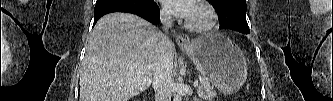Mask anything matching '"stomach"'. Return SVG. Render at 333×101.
Returning <instances> with one entry per match:
<instances>
[{"instance_id":"stomach-1","label":"stomach","mask_w":333,"mask_h":101,"mask_svg":"<svg viewBox=\"0 0 333 101\" xmlns=\"http://www.w3.org/2000/svg\"><path fill=\"white\" fill-rule=\"evenodd\" d=\"M204 79L225 94L237 92L247 78V63L238 46L218 32L207 33L182 47Z\"/></svg>"}]
</instances>
